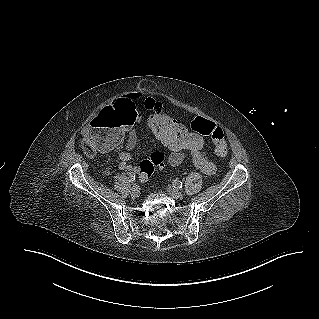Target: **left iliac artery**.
<instances>
[{
	"label": "left iliac artery",
	"instance_id": "44dca946",
	"mask_svg": "<svg viewBox=\"0 0 319 319\" xmlns=\"http://www.w3.org/2000/svg\"><path fill=\"white\" fill-rule=\"evenodd\" d=\"M172 184H173V186H174L175 188H177V189L183 187V183H182L181 181L177 180V179H176V180H173Z\"/></svg>",
	"mask_w": 319,
	"mask_h": 319
}]
</instances>
